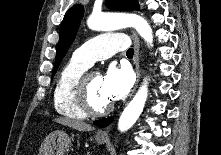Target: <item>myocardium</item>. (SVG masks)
<instances>
[{"label":"myocardium","mask_w":221,"mask_h":155,"mask_svg":"<svg viewBox=\"0 0 221 155\" xmlns=\"http://www.w3.org/2000/svg\"><path fill=\"white\" fill-rule=\"evenodd\" d=\"M94 71H85L77 80L74 86V99L78 107L86 114L90 116H103L108 114L113 104L109 103L101 109L95 108L89 98V79Z\"/></svg>","instance_id":"myocardium-1"}]
</instances>
